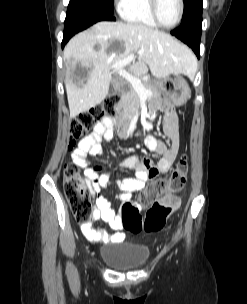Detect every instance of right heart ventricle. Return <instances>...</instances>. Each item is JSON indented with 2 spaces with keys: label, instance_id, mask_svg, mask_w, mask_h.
Here are the masks:
<instances>
[{
  "label": "right heart ventricle",
  "instance_id": "obj_1",
  "mask_svg": "<svg viewBox=\"0 0 247 304\" xmlns=\"http://www.w3.org/2000/svg\"><path fill=\"white\" fill-rule=\"evenodd\" d=\"M120 12L128 22L157 27L150 12L149 0H126Z\"/></svg>",
  "mask_w": 247,
  "mask_h": 304
}]
</instances>
